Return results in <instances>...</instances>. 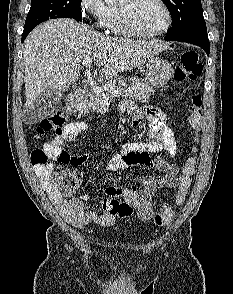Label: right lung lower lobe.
Instances as JSON below:
<instances>
[{"mask_svg":"<svg viewBox=\"0 0 233 294\" xmlns=\"http://www.w3.org/2000/svg\"><path fill=\"white\" fill-rule=\"evenodd\" d=\"M30 31H31L30 29H28V30L24 29V31H23V35H22V42H23L24 39L27 37V35L29 34Z\"/></svg>","mask_w":233,"mask_h":294,"instance_id":"obj_1","label":"right lung lower lobe"}]
</instances>
